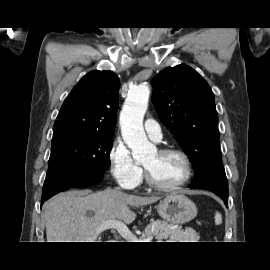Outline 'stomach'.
<instances>
[{
	"mask_svg": "<svg viewBox=\"0 0 270 270\" xmlns=\"http://www.w3.org/2000/svg\"><path fill=\"white\" fill-rule=\"evenodd\" d=\"M157 211L160 217L171 224H185L197 215L196 205L185 195L173 193L162 199Z\"/></svg>",
	"mask_w": 270,
	"mask_h": 270,
	"instance_id": "stomach-1",
	"label": "stomach"
}]
</instances>
